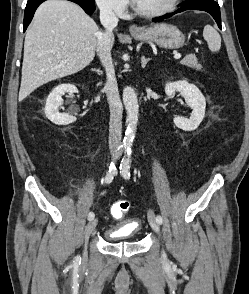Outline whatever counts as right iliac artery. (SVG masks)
<instances>
[{
  "instance_id": "obj_1",
  "label": "right iliac artery",
  "mask_w": 249,
  "mask_h": 294,
  "mask_svg": "<svg viewBox=\"0 0 249 294\" xmlns=\"http://www.w3.org/2000/svg\"><path fill=\"white\" fill-rule=\"evenodd\" d=\"M123 146L121 145L118 150L122 149ZM117 174V169H116V166H115V162L112 161L110 166H109V170H108V173L105 177V183H111L112 180H113V177ZM94 213L93 212H89L88 214V220H92L94 218ZM81 258H79L78 256L75 258V261H79Z\"/></svg>"
}]
</instances>
